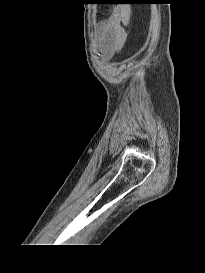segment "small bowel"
<instances>
[{"label": "small bowel", "instance_id": "c3829d8e", "mask_svg": "<svg viewBox=\"0 0 205 273\" xmlns=\"http://www.w3.org/2000/svg\"><path fill=\"white\" fill-rule=\"evenodd\" d=\"M129 15L127 11L116 8L97 28L98 51L104 60H109L126 41Z\"/></svg>", "mask_w": 205, "mask_h": 273}]
</instances>
